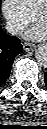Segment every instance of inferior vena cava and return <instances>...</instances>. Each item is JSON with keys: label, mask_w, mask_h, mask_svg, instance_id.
<instances>
[{"label": "inferior vena cava", "mask_w": 47, "mask_h": 129, "mask_svg": "<svg viewBox=\"0 0 47 129\" xmlns=\"http://www.w3.org/2000/svg\"><path fill=\"white\" fill-rule=\"evenodd\" d=\"M5 29L7 30L8 33L16 35L20 33V31L23 29V26L20 23L14 21H8L6 23Z\"/></svg>", "instance_id": "inferior-vena-cava-1"}]
</instances>
